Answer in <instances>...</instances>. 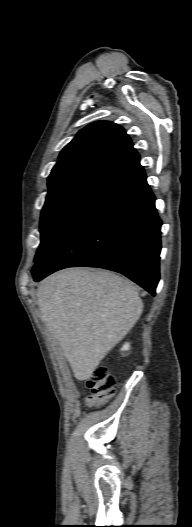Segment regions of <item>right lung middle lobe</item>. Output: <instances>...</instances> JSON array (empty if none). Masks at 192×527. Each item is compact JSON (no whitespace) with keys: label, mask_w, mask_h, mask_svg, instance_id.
I'll use <instances>...</instances> for the list:
<instances>
[{"label":"right lung middle lobe","mask_w":192,"mask_h":527,"mask_svg":"<svg viewBox=\"0 0 192 527\" xmlns=\"http://www.w3.org/2000/svg\"><path fill=\"white\" fill-rule=\"evenodd\" d=\"M106 183L105 180L86 178L49 189L41 214V244L35 262L49 252Z\"/></svg>","instance_id":"1"}]
</instances>
